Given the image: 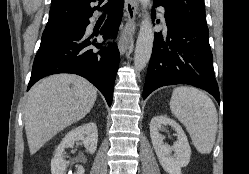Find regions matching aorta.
Returning <instances> with one entry per match:
<instances>
[{"label": "aorta", "instance_id": "1", "mask_svg": "<svg viewBox=\"0 0 249 174\" xmlns=\"http://www.w3.org/2000/svg\"><path fill=\"white\" fill-rule=\"evenodd\" d=\"M139 1L144 11V14L140 25L134 54V68L138 72L143 70L149 62L154 42L152 21L149 13L147 12V7L150 3V0Z\"/></svg>", "mask_w": 249, "mask_h": 174}]
</instances>
